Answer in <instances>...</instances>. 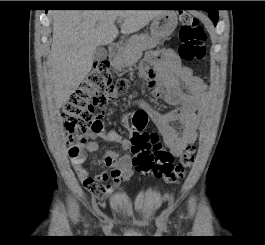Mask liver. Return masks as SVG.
Returning a JSON list of instances; mask_svg holds the SVG:
<instances>
[{
  "label": "liver",
  "mask_w": 265,
  "mask_h": 245,
  "mask_svg": "<svg viewBox=\"0 0 265 245\" xmlns=\"http://www.w3.org/2000/svg\"><path fill=\"white\" fill-rule=\"evenodd\" d=\"M162 10H58L53 12V36L49 63L57 109L70 98L92 68L97 47L111 44L123 20L122 34L144 28Z\"/></svg>",
  "instance_id": "1"
}]
</instances>
